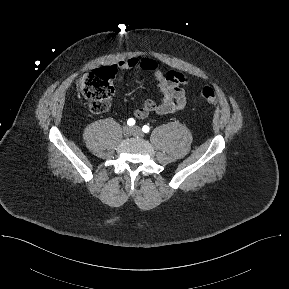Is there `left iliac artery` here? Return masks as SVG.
Here are the masks:
<instances>
[{"label":"left iliac artery","instance_id":"1","mask_svg":"<svg viewBox=\"0 0 289 289\" xmlns=\"http://www.w3.org/2000/svg\"><path fill=\"white\" fill-rule=\"evenodd\" d=\"M142 131H143L144 133H148V132L150 131L149 126L144 125V126L142 127Z\"/></svg>","mask_w":289,"mask_h":289}]
</instances>
